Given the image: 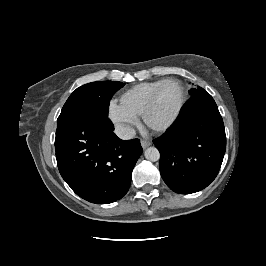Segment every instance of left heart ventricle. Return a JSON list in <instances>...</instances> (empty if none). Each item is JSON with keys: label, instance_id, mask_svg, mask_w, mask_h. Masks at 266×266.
I'll use <instances>...</instances> for the list:
<instances>
[{"label": "left heart ventricle", "instance_id": "b2bd125f", "mask_svg": "<svg viewBox=\"0 0 266 266\" xmlns=\"http://www.w3.org/2000/svg\"><path fill=\"white\" fill-rule=\"evenodd\" d=\"M181 99V90L177 83H168L160 90L150 122L155 126L165 124L175 113Z\"/></svg>", "mask_w": 266, "mask_h": 266}]
</instances>
